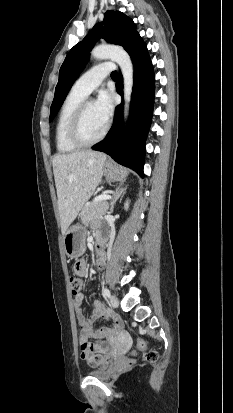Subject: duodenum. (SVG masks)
Returning <instances> with one entry per match:
<instances>
[{"instance_id":"410a0bca","label":"duodenum","mask_w":233,"mask_h":413,"mask_svg":"<svg viewBox=\"0 0 233 413\" xmlns=\"http://www.w3.org/2000/svg\"><path fill=\"white\" fill-rule=\"evenodd\" d=\"M105 241V236L99 233L96 239V252H97V266L103 267L105 264V253L103 249V243Z\"/></svg>"}]
</instances>
